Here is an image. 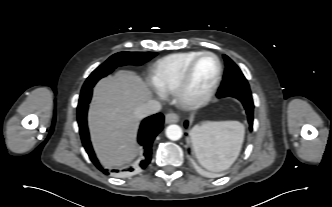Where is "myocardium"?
<instances>
[{
  "label": "myocardium",
  "mask_w": 332,
  "mask_h": 207,
  "mask_svg": "<svg viewBox=\"0 0 332 207\" xmlns=\"http://www.w3.org/2000/svg\"><path fill=\"white\" fill-rule=\"evenodd\" d=\"M211 56L217 62V72L208 90L200 95L190 93L191 79L197 63L204 57ZM222 78V63L219 57L212 52H202L196 56L186 67L178 86L175 89V97L178 103L185 108H197L207 103L216 93Z\"/></svg>",
  "instance_id": "f54148a6"
}]
</instances>
